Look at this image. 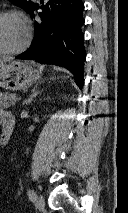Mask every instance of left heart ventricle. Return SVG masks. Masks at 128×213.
I'll use <instances>...</instances> for the list:
<instances>
[{
    "instance_id": "1",
    "label": "left heart ventricle",
    "mask_w": 128,
    "mask_h": 213,
    "mask_svg": "<svg viewBox=\"0 0 128 213\" xmlns=\"http://www.w3.org/2000/svg\"><path fill=\"white\" fill-rule=\"evenodd\" d=\"M25 39L23 23L14 17L0 19V49H15Z\"/></svg>"
}]
</instances>
